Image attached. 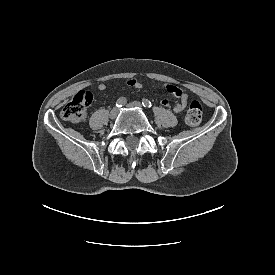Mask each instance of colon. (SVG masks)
<instances>
[{
	"mask_svg": "<svg viewBox=\"0 0 275 275\" xmlns=\"http://www.w3.org/2000/svg\"><path fill=\"white\" fill-rule=\"evenodd\" d=\"M90 90H81L74 95L61 110V116L73 123H83L86 119V107L93 100ZM203 117V107L200 102L193 100L185 114L184 121L188 126H196Z\"/></svg>",
	"mask_w": 275,
	"mask_h": 275,
	"instance_id": "obj_1",
	"label": "colon"
}]
</instances>
